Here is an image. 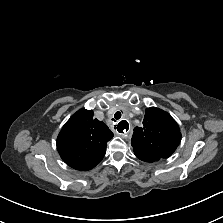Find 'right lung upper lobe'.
<instances>
[{
  "label": "right lung upper lobe",
  "instance_id": "right-lung-upper-lobe-1",
  "mask_svg": "<svg viewBox=\"0 0 223 223\" xmlns=\"http://www.w3.org/2000/svg\"><path fill=\"white\" fill-rule=\"evenodd\" d=\"M112 137L107 125L93 118L92 110L82 108L61 129L57 149L67 165L87 171L102 160Z\"/></svg>",
  "mask_w": 223,
  "mask_h": 223
}]
</instances>
